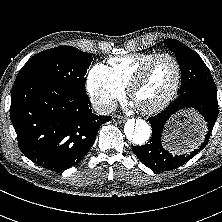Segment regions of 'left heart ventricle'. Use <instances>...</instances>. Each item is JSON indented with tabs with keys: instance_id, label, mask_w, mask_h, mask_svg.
Returning a JSON list of instances; mask_svg holds the SVG:
<instances>
[{
	"instance_id": "b2bd125f",
	"label": "left heart ventricle",
	"mask_w": 222,
	"mask_h": 222,
	"mask_svg": "<svg viewBox=\"0 0 222 222\" xmlns=\"http://www.w3.org/2000/svg\"><path fill=\"white\" fill-rule=\"evenodd\" d=\"M176 68L172 60L155 61L136 88L133 100L139 107L152 106L161 101L173 86Z\"/></svg>"
}]
</instances>
